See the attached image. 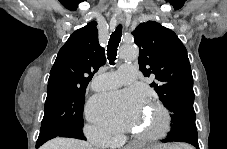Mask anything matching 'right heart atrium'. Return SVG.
<instances>
[{
  "mask_svg": "<svg viewBox=\"0 0 227 149\" xmlns=\"http://www.w3.org/2000/svg\"><path fill=\"white\" fill-rule=\"evenodd\" d=\"M85 134L88 139L95 145H107L111 143L110 136L99 126L96 125H86Z\"/></svg>",
  "mask_w": 227,
  "mask_h": 149,
  "instance_id": "right-heart-atrium-1",
  "label": "right heart atrium"
}]
</instances>
